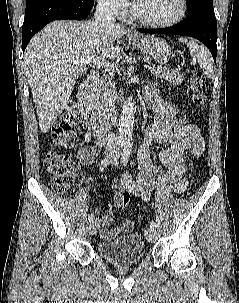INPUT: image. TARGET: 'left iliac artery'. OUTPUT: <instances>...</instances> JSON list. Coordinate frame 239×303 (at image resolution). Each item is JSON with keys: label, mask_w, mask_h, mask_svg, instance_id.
Returning <instances> with one entry per match:
<instances>
[{"label": "left iliac artery", "mask_w": 239, "mask_h": 303, "mask_svg": "<svg viewBox=\"0 0 239 303\" xmlns=\"http://www.w3.org/2000/svg\"><path fill=\"white\" fill-rule=\"evenodd\" d=\"M131 147H132L131 142H126L124 144L123 154H122V158H121V163L124 166H126L127 163H128V160H129V157H130V154H131ZM150 227L156 228V223L154 221H152L150 223Z\"/></svg>", "instance_id": "left-iliac-artery-1"}]
</instances>
